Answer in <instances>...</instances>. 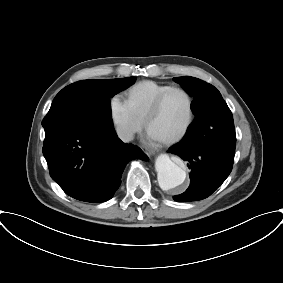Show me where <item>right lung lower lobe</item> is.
I'll list each match as a JSON object with an SVG mask.
<instances>
[{"mask_svg": "<svg viewBox=\"0 0 283 283\" xmlns=\"http://www.w3.org/2000/svg\"><path fill=\"white\" fill-rule=\"evenodd\" d=\"M43 154L52 179L80 201L105 202L121 184L127 163L147 160L143 151L123 143L113 127L63 125L45 132Z\"/></svg>", "mask_w": 283, "mask_h": 283, "instance_id": "1", "label": "right lung lower lobe"}]
</instances>
